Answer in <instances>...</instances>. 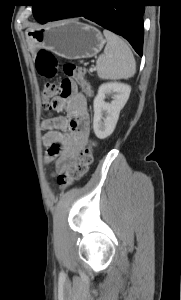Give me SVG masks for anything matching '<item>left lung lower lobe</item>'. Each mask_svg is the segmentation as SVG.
I'll return each instance as SVG.
<instances>
[{
    "instance_id": "1",
    "label": "left lung lower lobe",
    "mask_w": 181,
    "mask_h": 300,
    "mask_svg": "<svg viewBox=\"0 0 181 300\" xmlns=\"http://www.w3.org/2000/svg\"><path fill=\"white\" fill-rule=\"evenodd\" d=\"M144 11L142 0H73L59 6L47 22L83 16L124 37L142 56Z\"/></svg>"
}]
</instances>
